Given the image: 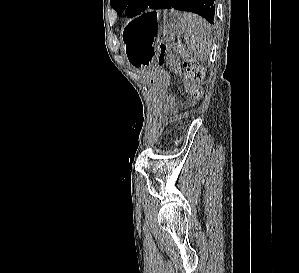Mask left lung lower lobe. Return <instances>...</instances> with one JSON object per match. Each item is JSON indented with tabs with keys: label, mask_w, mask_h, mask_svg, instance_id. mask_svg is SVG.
Returning a JSON list of instances; mask_svg holds the SVG:
<instances>
[{
	"label": "left lung lower lobe",
	"mask_w": 299,
	"mask_h": 273,
	"mask_svg": "<svg viewBox=\"0 0 299 273\" xmlns=\"http://www.w3.org/2000/svg\"><path fill=\"white\" fill-rule=\"evenodd\" d=\"M147 8L190 11L201 15L211 24L214 22V0H151Z\"/></svg>",
	"instance_id": "1"
}]
</instances>
